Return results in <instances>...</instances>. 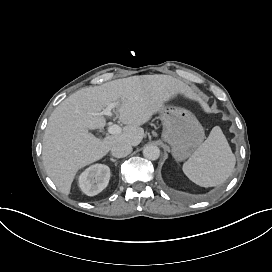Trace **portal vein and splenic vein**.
Returning <instances> with one entry per match:
<instances>
[{"label": "portal vein and splenic vein", "instance_id": "obj_1", "mask_svg": "<svg viewBox=\"0 0 272 272\" xmlns=\"http://www.w3.org/2000/svg\"><path fill=\"white\" fill-rule=\"evenodd\" d=\"M119 102H113V103H110L105 109L103 112H100L99 115H106V116H109V117H112L113 116V113H112V109L115 108L117 105H118ZM108 131L109 133H112V134H118L121 132V128L114 124V125H111L109 128H108Z\"/></svg>", "mask_w": 272, "mask_h": 272}]
</instances>
